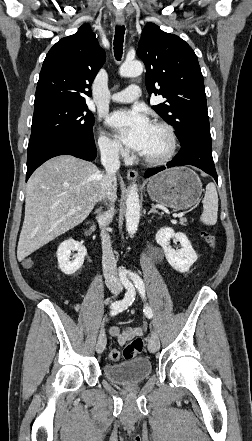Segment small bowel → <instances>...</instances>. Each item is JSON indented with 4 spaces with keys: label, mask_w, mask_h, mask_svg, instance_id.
I'll list each match as a JSON object with an SVG mask.
<instances>
[{
    "label": "small bowel",
    "mask_w": 252,
    "mask_h": 441,
    "mask_svg": "<svg viewBox=\"0 0 252 441\" xmlns=\"http://www.w3.org/2000/svg\"><path fill=\"white\" fill-rule=\"evenodd\" d=\"M73 308L78 311L79 310V304H75ZM109 334L114 337L119 345H124L127 341L132 340L133 338L137 336L142 335V329L138 327H126L121 328L119 326H112L109 329Z\"/></svg>",
    "instance_id": "1"
}]
</instances>
